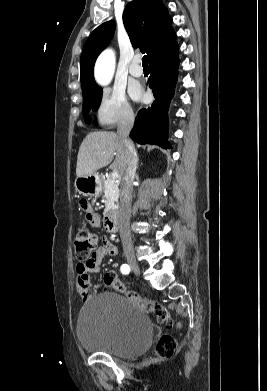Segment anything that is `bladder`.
<instances>
[{
    "label": "bladder",
    "instance_id": "bladder-1",
    "mask_svg": "<svg viewBox=\"0 0 267 391\" xmlns=\"http://www.w3.org/2000/svg\"><path fill=\"white\" fill-rule=\"evenodd\" d=\"M76 330L85 350L123 358L146 352L153 337V325L146 312L116 292L96 295L85 303Z\"/></svg>",
    "mask_w": 267,
    "mask_h": 391
}]
</instances>
